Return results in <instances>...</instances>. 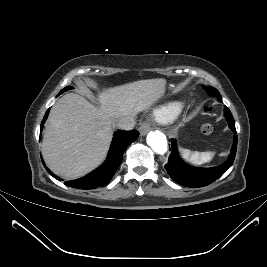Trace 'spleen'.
<instances>
[{
  "mask_svg": "<svg viewBox=\"0 0 267 267\" xmlns=\"http://www.w3.org/2000/svg\"><path fill=\"white\" fill-rule=\"evenodd\" d=\"M181 156L188 162L193 165H202L207 162H210L215 152H198V151H191L189 149H179Z\"/></svg>",
  "mask_w": 267,
  "mask_h": 267,
  "instance_id": "spleen-1",
  "label": "spleen"
}]
</instances>
